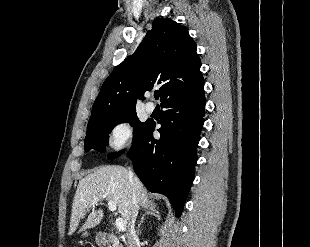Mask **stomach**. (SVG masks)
Segmentation results:
<instances>
[{
	"instance_id": "0dacf381",
	"label": "stomach",
	"mask_w": 310,
	"mask_h": 247,
	"mask_svg": "<svg viewBox=\"0 0 310 247\" xmlns=\"http://www.w3.org/2000/svg\"><path fill=\"white\" fill-rule=\"evenodd\" d=\"M82 236H83V237L88 236V232L85 231V232L82 234Z\"/></svg>"
}]
</instances>
